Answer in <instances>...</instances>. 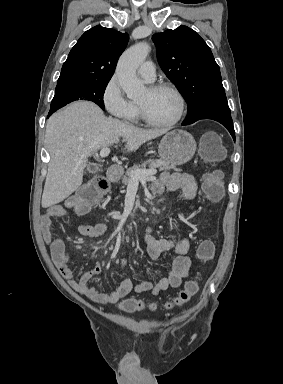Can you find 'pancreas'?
<instances>
[{
  "instance_id": "cf45deb5",
  "label": "pancreas",
  "mask_w": 283,
  "mask_h": 384,
  "mask_svg": "<svg viewBox=\"0 0 283 384\" xmlns=\"http://www.w3.org/2000/svg\"><path fill=\"white\" fill-rule=\"evenodd\" d=\"M146 164H149L150 170H153V168H159V172H167V170H173V168H175L174 164L165 162V160H146L144 164L132 166V168H129L126 172H124V168H121V166H116V168H119L120 174H125V176H121L122 184H124V186H128L129 182H131L133 172H136V170H144V166H146ZM111 182H115V180H111Z\"/></svg>"
}]
</instances>
